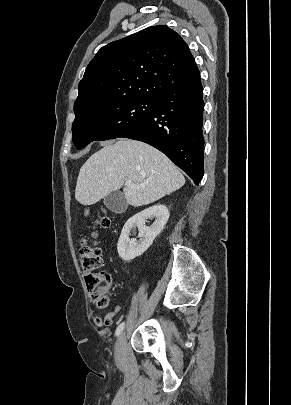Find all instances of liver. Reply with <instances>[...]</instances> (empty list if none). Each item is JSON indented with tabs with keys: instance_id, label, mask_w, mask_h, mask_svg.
<instances>
[{
	"instance_id": "liver-1",
	"label": "liver",
	"mask_w": 291,
	"mask_h": 405,
	"mask_svg": "<svg viewBox=\"0 0 291 405\" xmlns=\"http://www.w3.org/2000/svg\"><path fill=\"white\" fill-rule=\"evenodd\" d=\"M123 192L134 207L150 204L180 189L185 178L178 168L156 148L136 140L120 139L107 144L90 156L80 169L75 198L82 205H91L109 193ZM89 210H85V216Z\"/></svg>"
}]
</instances>
